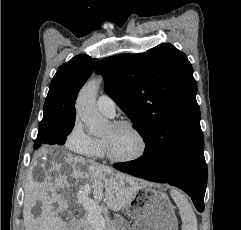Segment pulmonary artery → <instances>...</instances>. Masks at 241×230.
<instances>
[{
	"label": "pulmonary artery",
	"instance_id": "e3ab8cb5",
	"mask_svg": "<svg viewBox=\"0 0 241 230\" xmlns=\"http://www.w3.org/2000/svg\"><path fill=\"white\" fill-rule=\"evenodd\" d=\"M97 109L104 115L113 117L115 115V101L107 94H102L96 102Z\"/></svg>",
	"mask_w": 241,
	"mask_h": 230
}]
</instances>
